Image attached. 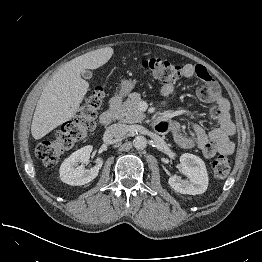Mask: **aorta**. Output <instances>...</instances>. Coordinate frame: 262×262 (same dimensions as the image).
<instances>
[{"label":"aorta","instance_id":"obj_1","mask_svg":"<svg viewBox=\"0 0 262 262\" xmlns=\"http://www.w3.org/2000/svg\"><path fill=\"white\" fill-rule=\"evenodd\" d=\"M133 146L137 149V150H142L144 148H146L147 146V139L144 136H136L133 140Z\"/></svg>","mask_w":262,"mask_h":262}]
</instances>
